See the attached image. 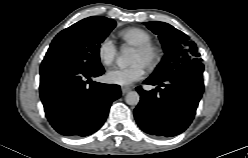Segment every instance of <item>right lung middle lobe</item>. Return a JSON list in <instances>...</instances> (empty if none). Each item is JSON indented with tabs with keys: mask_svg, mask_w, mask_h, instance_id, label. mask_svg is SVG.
I'll use <instances>...</instances> for the list:
<instances>
[{
	"mask_svg": "<svg viewBox=\"0 0 248 158\" xmlns=\"http://www.w3.org/2000/svg\"><path fill=\"white\" fill-rule=\"evenodd\" d=\"M115 26L116 22L106 17L85 18L61 31L52 41L45 58L82 64L100 63V44Z\"/></svg>",
	"mask_w": 248,
	"mask_h": 158,
	"instance_id": "obj_1",
	"label": "right lung middle lobe"
}]
</instances>
